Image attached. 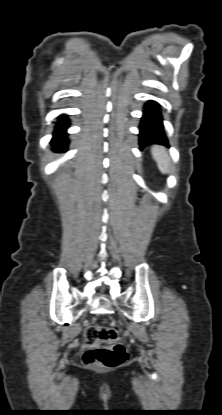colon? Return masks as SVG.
<instances>
[{"label": "colon", "instance_id": "5ec220e1", "mask_svg": "<svg viewBox=\"0 0 222 415\" xmlns=\"http://www.w3.org/2000/svg\"><path fill=\"white\" fill-rule=\"evenodd\" d=\"M121 330L114 323L105 325H89L84 331V340L90 346L83 354V363L86 366L97 368H116L121 366L127 358L126 347L117 343ZM101 341L102 346H94Z\"/></svg>", "mask_w": 222, "mask_h": 415}]
</instances>
